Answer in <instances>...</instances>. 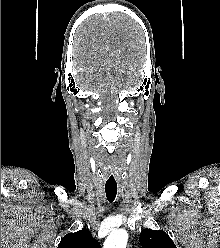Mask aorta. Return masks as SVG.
Here are the masks:
<instances>
[{
  "instance_id": "aorta-1",
  "label": "aorta",
  "mask_w": 220,
  "mask_h": 248,
  "mask_svg": "<svg viewBox=\"0 0 220 248\" xmlns=\"http://www.w3.org/2000/svg\"><path fill=\"white\" fill-rule=\"evenodd\" d=\"M128 233L125 230H116L106 239L103 248H126Z\"/></svg>"
}]
</instances>
